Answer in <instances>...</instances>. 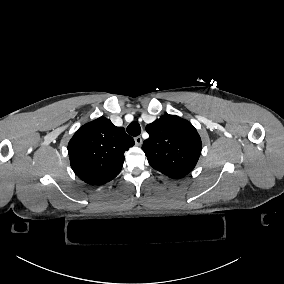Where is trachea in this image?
<instances>
[{"label": "trachea", "mask_w": 284, "mask_h": 284, "mask_svg": "<svg viewBox=\"0 0 284 284\" xmlns=\"http://www.w3.org/2000/svg\"><path fill=\"white\" fill-rule=\"evenodd\" d=\"M127 132L131 136H138L141 133V127L138 122H131L127 127Z\"/></svg>", "instance_id": "obj_1"}]
</instances>
